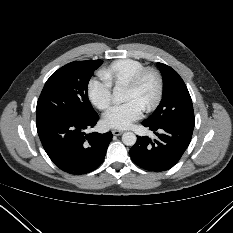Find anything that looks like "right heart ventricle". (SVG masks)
I'll return each mask as SVG.
<instances>
[{
  "label": "right heart ventricle",
  "mask_w": 233,
  "mask_h": 233,
  "mask_svg": "<svg viewBox=\"0 0 233 233\" xmlns=\"http://www.w3.org/2000/svg\"><path fill=\"white\" fill-rule=\"evenodd\" d=\"M144 67L145 65L136 59H118L101 69L99 76L111 86L117 87L126 84L136 72Z\"/></svg>",
  "instance_id": "obj_1"
}]
</instances>
